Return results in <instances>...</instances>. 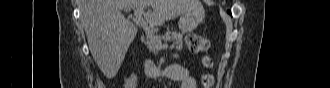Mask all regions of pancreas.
<instances>
[{"label": "pancreas", "instance_id": "pancreas-1", "mask_svg": "<svg viewBox=\"0 0 330 88\" xmlns=\"http://www.w3.org/2000/svg\"><path fill=\"white\" fill-rule=\"evenodd\" d=\"M158 40L161 41H172V48H176L177 50H181L183 48V44H182V34L181 33H177L175 31L170 32L167 31L164 35H156ZM145 44L147 46V48L152 51L153 53H157L159 49H157L154 45V43L151 41L150 38H146Z\"/></svg>", "mask_w": 330, "mask_h": 88}]
</instances>
